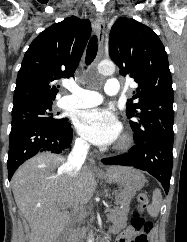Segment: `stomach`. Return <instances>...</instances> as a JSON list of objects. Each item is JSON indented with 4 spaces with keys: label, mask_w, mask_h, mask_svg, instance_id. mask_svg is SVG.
Masks as SVG:
<instances>
[{
    "label": "stomach",
    "mask_w": 187,
    "mask_h": 242,
    "mask_svg": "<svg viewBox=\"0 0 187 242\" xmlns=\"http://www.w3.org/2000/svg\"><path fill=\"white\" fill-rule=\"evenodd\" d=\"M99 177L106 179L105 175H99ZM115 183L119 187V193L115 197V203L120 206L119 210L122 214L126 215L131 199L144 186L145 177L140 171L127 167L119 175ZM119 221L120 216H116L114 223H118Z\"/></svg>",
    "instance_id": "obj_1"
}]
</instances>
